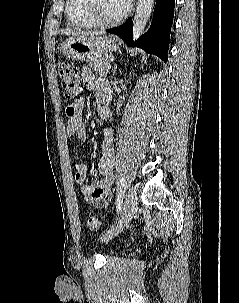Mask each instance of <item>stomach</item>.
<instances>
[{
  "mask_svg": "<svg viewBox=\"0 0 239 303\" xmlns=\"http://www.w3.org/2000/svg\"><path fill=\"white\" fill-rule=\"evenodd\" d=\"M117 49L118 44L113 36L71 37L62 45L65 56L79 61L105 58Z\"/></svg>",
  "mask_w": 239,
  "mask_h": 303,
  "instance_id": "obj_1",
  "label": "stomach"
}]
</instances>
